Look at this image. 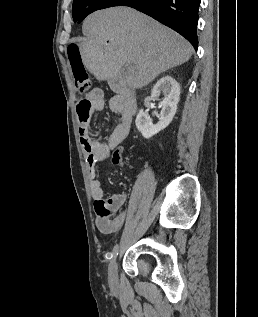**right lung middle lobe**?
<instances>
[{"label": "right lung middle lobe", "instance_id": "right-lung-middle-lobe-1", "mask_svg": "<svg viewBox=\"0 0 258 317\" xmlns=\"http://www.w3.org/2000/svg\"><path fill=\"white\" fill-rule=\"evenodd\" d=\"M91 0H73L72 16L74 22L77 21L86 4Z\"/></svg>", "mask_w": 258, "mask_h": 317}]
</instances>
